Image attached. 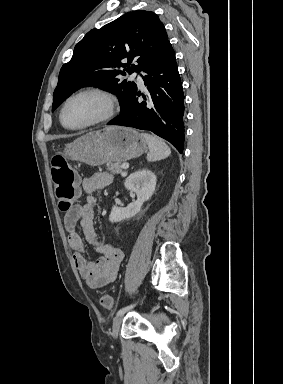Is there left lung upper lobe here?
Listing matches in <instances>:
<instances>
[{
  "label": "left lung upper lobe",
  "mask_w": 283,
  "mask_h": 384,
  "mask_svg": "<svg viewBox=\"0 0 283 384\" xmlns=\"http://www.w3.org/2000/svg\"><path fill=\"white\" fill-rule=\"evenodd\" d=\"M168 42L164 24L154 12L145 10L125 14L101 29L90 30L75 46L72 59L60 70L52 111L77 89L98 86L119 97L122 112L137 86L134 82H121L118 77L143 71ZM119 67H124V71Z\"/></svg>",
  "instance_id": "1"
}]
</instances>
